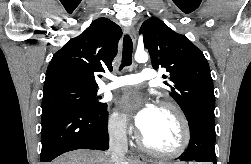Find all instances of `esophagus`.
<instances>
[{"label": "esophagus", "mask_w": 251, "mask_h": 164, "mask_svg": "<svg viewBox=\"0 0 251 164\" xmlns=\"http://www.w3.org/2000/svg\"><path fill=\"white\" fill-rule=\"evenodd\" d=\"M128 33L129 35L131 36L132 40H133V43L136 42V37H137V32H136V28L134 25H132L129 29H128ZM135 159L136 161L139 163V164H145L146 161H145V158L143 155L141 154H136L135 155Z\"/></svg>", "instance_id": "34e87169"}]
</instances>
